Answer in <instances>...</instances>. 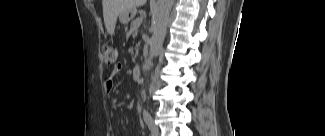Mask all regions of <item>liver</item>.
I'll return each mask as SVG.
<instances>
[{
    "label": "liver",
    "instance_id": "1",
    "mask_svg": "<svg viewBox=\"0 0 325 136\" xmlns=\"http://www.w3.org/2000/svg\"><path fill=\"white\" fill-rule=\"evenodd\" d=\"M145 3L146 0H103V17L107 32L110 35L114 33L118 15Z\"/></svg>",
    "mask_w": 325,
    "mask_h": 136
}]
</instances>
